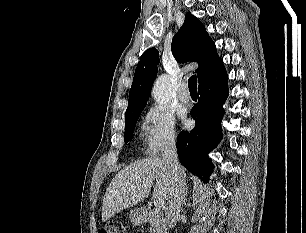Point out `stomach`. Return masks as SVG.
<instances>
[{"label":"stomach","mask_w":306,"mask_h":233,"mask_svg":"<svg viewBox=\"0 0 306 233\" xmlns=\"http://www.w3.org/2000/svg\"><path fill=\"white\" fill-rule=\"evenodd\" d=\"M129 219L133 225H140L144 221V215L139 209L131 210Z\"/></svg>","instance_id":"stomach-1"}]
</instances>
